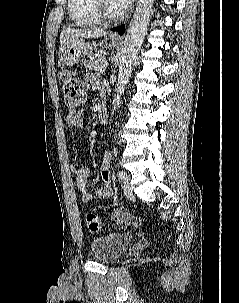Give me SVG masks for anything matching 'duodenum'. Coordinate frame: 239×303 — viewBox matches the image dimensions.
I'll return each mask as SVG.
<instances>
[{
  "mask_svg": "<svg viewBox=\"0 0 239 303\" xmlns=\"http://www.w3.org/2000/svg\"><path fill=\"white\" fill-rule=\"evenodd\" d=\"M98 118L101 124H106L108 122V112L106 108L101 107L98 110Z\"/></svg>",
  "mask_w": 239,
  "mask_h": 303,
  "instance_id": "410a0bca",
  "label": "duodenum"
}]
</instances>
